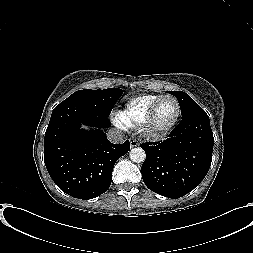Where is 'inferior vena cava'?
<instances>
[{"mask_svg":"<svg viewBox=\"0 0 253 253\" xmlns=\"http://www.w3.org/2000/svg\"><path fill=\"white\" fill-rule=\"evenodd\" d=\"M107 138L110 142L113 143H123L125 141V138L123 135L116 129L112 128L107 133Z\"/></svg>","mask_w":253,"mask_h":253,"instance_id":"1","label":"inferior vena cava"}]
</instances>
